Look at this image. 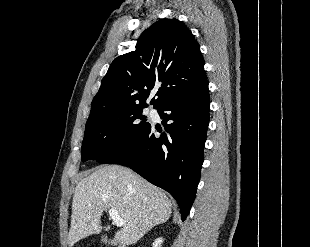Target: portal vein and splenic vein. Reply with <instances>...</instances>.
Returning <instances> with one entry per match:
<instances>
[{"label":"portal vein and splenic vein","mask_w":310,"mask_h":247,"mask_svg":"<svg viewBox=\"0 0 310 247\" xmlns=\"http://www.w3.org/2000/svg\"><path fill=\"white\" fill-rule=\"evenodd\" d=\"M109 216L117 227H122L124 225V221L116 209L114 208L109 209Z\"/></svg>","instance_id":"obj_1"}]
</instances>
